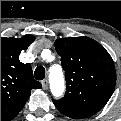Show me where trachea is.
Segmentation results:
<instances>
[{"label": "trachea", "instance_id": "3493384b", "mask_svg": "<svg viewBox=\"0 0 121 121\" xmlns=\"http://www.w3.org/2000/svg\"><path fill=\"white\" fill-rule=\"evenodd\" d=\"M34 77L36 80H43L45 78V68L43 66H38L35 69Z\"/></svg>", "mask_w": 121, "mask_h": 121}]
</instances>
